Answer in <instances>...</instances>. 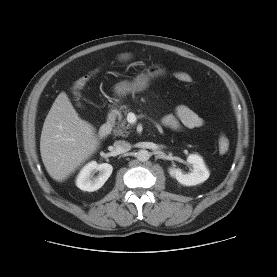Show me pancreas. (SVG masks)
<instances>
[{"mask_svg": "<svg viewBox=\"0 0 277 277\" xmlns=\"http://www.w3.org/2000/svg\"><path fill=\"white\" fill-rule=\"evenodd\" d=\"M124 114L125 115L127 114V110L124 111ZM121 118L122 116L119 119L117 128L114 130V133L120 136H127L128 135L127 129L129 128V125H127L126 119L121 120Z\"/></svg>", "mask_w": 277, "mask_h": 277, "instance_id": "obj_1", "label": "pancreas"}]
</instances>
